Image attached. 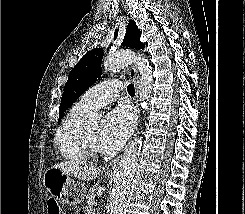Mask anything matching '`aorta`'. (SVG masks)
<instances>
[{"instance_id": "obj_1", "label": "aorta", "mask_w": 245, "mask_h": 214, "mask_svg": "<svg viewBox=\"0 0 245 214\" xmlns=\"http://www.w3.org/2000/svg\"><path fill=\"white\" fill-rule=\"evenodd\" d=\"M131 63H136L140 72V101L142 108L147 110L153 83L152 67L149 65L147 59L129 51H119L110 54L105 59L104 68L106 70L114 71L122 69ZM91 120L93 122H97L99 120V116L94 115ZM141 147L142 137L138 135L135 136L124 150L119 162L116 182L112 190L110 214H123V208L125 206L131 182L135 175Z\"/></svg>"}]
</instances>
